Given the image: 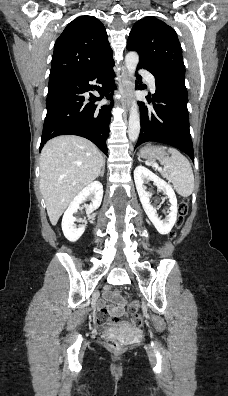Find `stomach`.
<instances>
[{
  "instance_id": "1",
  "label": "stomach",
  "mask_w": 228,
  "mask_h": 396,
  "mask_svg": "<svg viewBox=\"0 0 228 396\" xmlns=\"http://www.w3.org/2000/svg\"><path fill=\"white\" fill-rule=\"evenodd\" d=\"M140 156L146 159L162 160L165 158L166 153L162 147H145L140 151Z\"/></svg>"
}]
</instances>
